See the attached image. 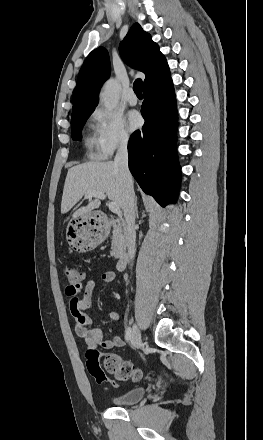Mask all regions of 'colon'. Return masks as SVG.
I'll use <instances>...</instances> for the list:
<instances>
[{"label":"colon","mask_w":263,"mask_h":440,"mask_svg":"<svg viewBox=\"0 0 263 440\" xmlns=\"http://www.w3.org/2000/svg\"><path fill=\"white\" fill-rule=\"evenodd\" d=\"M64 276L67 279L69 287L78 288L85 279V273L82 268L76 265H65L63 267ZM87 369L98 384L110 382V379L101 368L99 363V352L90 349L87 352ZM104 367L116 380H139L141 372L131 362L126 361L115 354L106 355L104 358Z\"/></svg>","instance_id":"5ec220e1"}]
</instances>
